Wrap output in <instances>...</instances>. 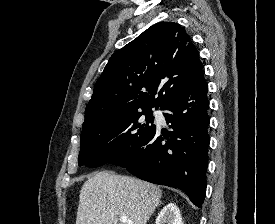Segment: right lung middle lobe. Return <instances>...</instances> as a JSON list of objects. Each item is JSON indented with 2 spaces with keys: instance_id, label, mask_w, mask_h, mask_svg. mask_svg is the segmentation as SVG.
Returning a JSON list of instances; mask_svg holds the SVG:
<instances>
[{
  "instance_id": "obj_1",
  "label": "right lung middle lobe",
  "mask_w": 275,
  "mask_h": 224,
  "mask_svg": "<svg viewBox=\"0 0 275 224\" xmlns=\"http://www.w3.org/2000/svg\"><path fill=\"white\" fill-rule=\"evenodd\" d=\"M152 108L114 116L84 128L79 166L99 167L143 141L156 128Z\"/></svg>"
}]
</instances>
